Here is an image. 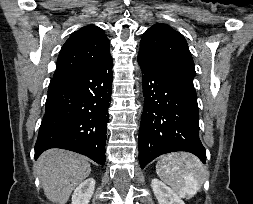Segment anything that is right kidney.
Listing matches in <instances>:
<instances>
[{"instance_id":"1","label":"right kidney","mask_w":253,"mask_h":204,"mask_svg":"<svg viewBox=\"0 0 253 204\" xmlns=\"http://www.w3.org/2000/svg\"><path fill=\"white\" fill-rule=\"evenodd\" d=\"M95 189L93 178L83 181L74 191L71 204H88Z\"/></svg>"}]
</instances>
